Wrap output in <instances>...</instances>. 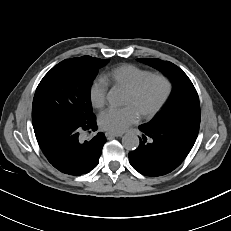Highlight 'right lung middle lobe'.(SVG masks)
I'll use <instances>...</instances> for the list:
<instances>
[{
    "label": "right lung middle lobe",
    "instance_id": "dd1d6c3e",
    "mask_svg": "<svg viewBox=\"0 0 231 231\" xmlns=\"http://www.w3.org/2000/svg\"><path fill=\"white\" fill-rule=\"evenodd\" d=\"M109 60L91 56L66 59L54 66L39 83L32 104V123L65 121L83 126L95 120L89 90L97 69Z\"/></svg>",
    "mask_w": 231,
    "mask_h": 231
}]
</instances>
